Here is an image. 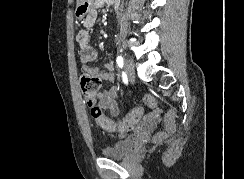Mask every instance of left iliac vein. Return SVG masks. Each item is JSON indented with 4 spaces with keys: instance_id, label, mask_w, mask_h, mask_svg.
I'll return each mask as SVG.
<instances>
[{
    "instance_id": "4c4485c4",
    "label": "left iliac vein",
    "mask_w": 244,
    "mask_h": 179,
    "mask_svg": "<svg viewBox=\"0 0 244 179\" xmlns=\"http://www.w3.org/2000/svg\"><path fill=\"white\" fill-rule=\"evenodd\" d=\"M125 73L128 76L129 79L133 80L135 78V69L134 64L131 60L125 61Z\"/></svg>"
}]
</instances>
